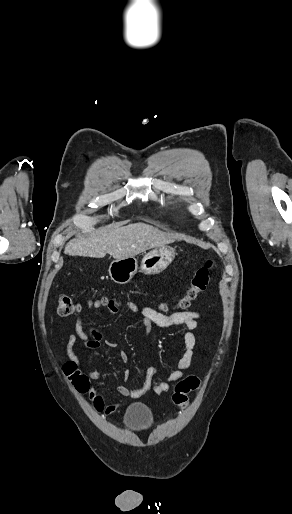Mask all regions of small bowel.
I'll use <instances>...</instances> for the list:
<instances>
[{"mask_svg": "<svg viewBox=\"0 0 292 514\" xmlns=\"http://www.w3.org/2000/svg\"><path fill=\"white\" fill-rule=\"evenodd\" d=\"M103 306H107L110 313H116L118 310V304L116 300L109 299L106 302L102 299L96 298L92 301V307L95 310L101 309ZM128 309L133 314H140L141 326L149 336L155 326L160 328H173V327H185L187 331L183 334V340L185 345V351L183 356L177 363V367L174 371L168 374L167 378L161 382H153V378L156 376L157 371L155 368L150 367L146 370L145 380L143 385L136 390H131L124 385L117 387V392L123 398H137L142 396L148 391H153L156 394H162L169 390L171 383L177 382L184 377V372L189 369L193 362L194 352L197 346V340L193 334V330L198 327V321L200 314L196 311H184L172 314H162L154 309L140 305L134 301L127 303ZM77 339L84 342L85 346L89 349H97L102 342V334L95 328H87L82 322L81 318H77L75 322V332L68 335L65 352L68 358L73 361L72 365L77 367L79 362L74 352V347ZM106 347L109 349H115L118 347L117 341L106 340L104 342ZM120 361L127 363L129 361V354L126 351H121L119 354ZM85 375L91 380H99L101 374L95 370H88ZM129 371L125 370L122 373L124 380L129 378ZM92 395H95L94 391H91ZM118 406L108 403L105 406L107 410L106 415L111 417L117 412Z\"/></svg>", "mask_w": 292, "mask_h": 514, "instance_id": "1", "label": "small bowel"}]
</instances>
